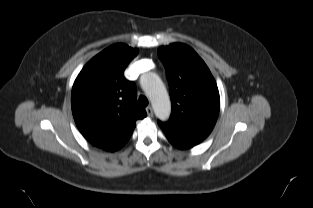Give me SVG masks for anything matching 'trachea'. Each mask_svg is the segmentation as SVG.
<instances>
[{
    "instance_id": "3493384b",
    "label": "trachea",
    "mask_w": 313,
    "mask_h": 208,
    "mask_svg": "<svg viewBox=\"0 0 313 208\" xmlns=\"http://www.w3.org/2000/svg\"><path fill=\"white\" fill-rule=\"evenodd\" d=\"M139 103L141 104V106L146 107L148 105V99L145 96L141 95L139 97Z\"/></svg>"
}]
</instances>
